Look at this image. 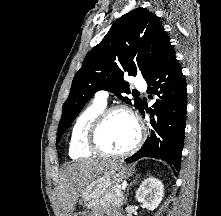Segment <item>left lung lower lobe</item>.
Segmentation results:
<instances>
[{"label": "left lung lower lobe", "instance_id": "left-lung-lower-lobe-1", "mask_svg": "<svg viewBox=\"0 0 221 216\" xmlns=\"http://www.w3.org/2000/svg\"><path fill=\"white\" fill-rule=\"evenodd\" d=\"M145 80L147 92L158 97L149 109L152 117L149 136L142 148L125 161L130 163L142 157H152L165 160L179 171L185 135L187 89L170 42L163 47ZM139 111L144 115V106Z\"/></svg>", "mask_w": 221, "mask_h": 216}]
</instances>
